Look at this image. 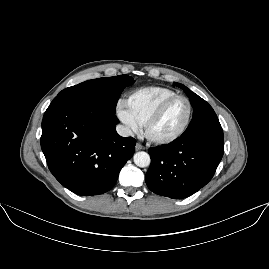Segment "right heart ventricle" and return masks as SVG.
I'll return each instance as SVG.
<instances>
[{
    "label": "right heart ventricle",
    "mask_w": 269,
    "mask_h": 269,
    "mask_svg": "<svg viewBox=\"0 0 269 269\" xmlns=\"http://www.w3.org/2000/svg\"><path fill=\"white\" fill-rule=\"evenodd\" d=\"M178 93L165 87H150L131 93L127 99L129 113L143 126L147 117L164 101Z\"/></svg>",
    "instance_id": "1"
}]
</instances>
